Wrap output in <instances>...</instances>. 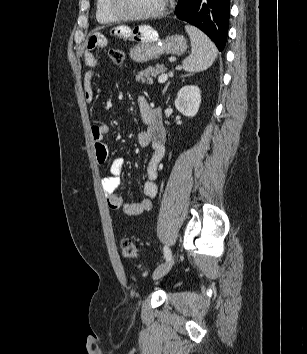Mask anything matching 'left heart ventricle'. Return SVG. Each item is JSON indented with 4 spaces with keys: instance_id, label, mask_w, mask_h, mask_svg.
<instances>
[{
    "instance_id": "1",
    "label": "left heart ventricle",
    "mask_w": 307,
    "mask_h": 354,
    "mask_svg": "<svg viewBox=\"0 0 307 354\" xmlns=\"http://www.w3.org/2000/svg\"><path fill=\"white\" fill-rule=\"evenodd\" d=\"M162 0H118L119 8L129 14H141L156 10Z\"/></svg>"
}]
</instances>
